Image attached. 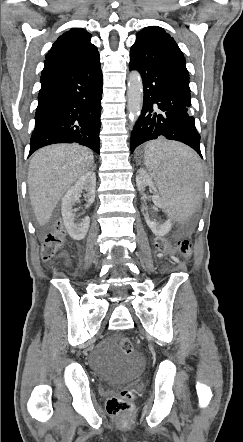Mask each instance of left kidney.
I'll return each instance as SVG.
<instances>
[{
  "label": "left kidney",
  "instance_id": "left-kidney-1",
  "mask_svg": "<svg viewBox=\"0 0 243 442\" xmlns=\"http://www.w3.org/2000/svg\"><path fill=\"white\" fill-rule=\"evenodd\" d=\"M136 185L139 191L143 190L146 186L154 187L152 179L149 178L148 174L143 169L138 170V175L136 176ZM152 201L156 206L161 208H163V205H167V203L162 198L156 195L152 197ZM147 209H148L147 206L144 205L141 206V212L151 231L155 235H158L159 233L170 232L172 228V220L168 219L163 224H160L156 220L150 218Z\"/></svg>",
  "mask_w": 243,
  "mask_h": 442
}]
</instances>
